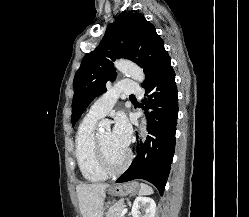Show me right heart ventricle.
I'll use <instances>...</instances> for the list:
<instances>
[{"instance_id":"1","label":"right heart ventricle","mask_w":249,"mask_h":217,"mask_svg":"<svg viewBox=\"0 0 249 217\" xmlns=\"http://www.w3.org/2000/svg\"><path fill=\"white\" fill-rule=\"evenodd\" d=\"M97 118L88 114L81 121L75 136V157L82 176L90 182H101L108 174L102 169L95 146Z\"/></svg>"}]
</instances>
